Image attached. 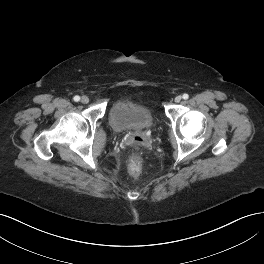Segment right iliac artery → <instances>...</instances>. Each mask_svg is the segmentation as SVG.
Instances as JSON below:
<instances>
[{
  "mask_svg": "<svg viewBox=\"0 0 264 264\" xmlns=\"http://www.w3.org/2000/svg\"><path fill=\"white\" fill-rule=\"evenodd\" d=\"M73 100H74L75 102H78V101L80 100V97L76 95V96H74Z\"/></svg>",
  "mask_w": 264,
  "mask_h": 264,
  "instance_id": "obj_1",
  "label": "right iliac artery"
}]
</instances>
